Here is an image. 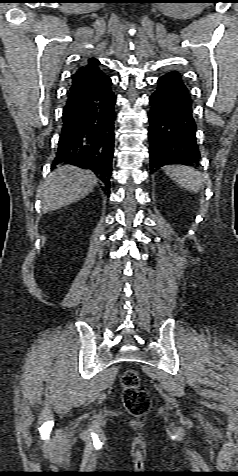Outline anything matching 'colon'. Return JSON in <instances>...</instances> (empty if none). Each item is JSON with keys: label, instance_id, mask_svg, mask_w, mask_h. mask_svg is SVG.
Wrapping results in <instances>:
<instances>
[{"label": "colon", "instance_id": "1", "mask_svg": "<svg viewBox=\"0 0 238 476\" xmlns=\"http://www.w3.org/2000/svg\"><path fill=\"white\" fill-rule=\"evenodd\" d=\"M122 400L125 409L133 416L144 415L151 406L149 394L140 389V377L136 370L128 369L121 377Z\"/></svg>", "mask_w": 238, "mask_h": 476}]
</instances>
